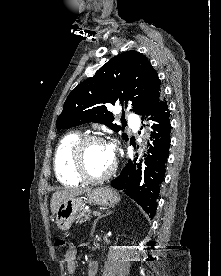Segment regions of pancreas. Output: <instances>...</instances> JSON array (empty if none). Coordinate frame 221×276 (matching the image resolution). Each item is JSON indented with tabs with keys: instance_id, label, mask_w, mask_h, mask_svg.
Returning a JSON list of instances; mask_svg holds the SVG:
<instances>
[{
	"instance_id": "pancreas-1",
	"label": "pancreas",
	"mask_w": 221,
	"mask_h": 276,
	"mask_svg": "<svg viewBox=\"0 0 221 276\" xmlns=\"http://www.w3.org/2000/svg\"><path fill=\"white\" fill-rule=\"evenodd\" d=\"M90 218H91L90 211H83L77 217L79 223H84L87 220H90Z\"/></svg>"
}]
</instances>
